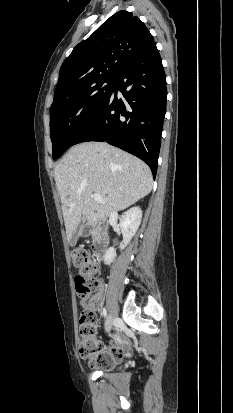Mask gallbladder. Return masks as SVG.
<instances>
[{
	"instance_id": "bac80fb5",
	"label": "gallbladder",
	"mask_w": 233,
	"mask_h": 413,
	"mask_svg": "<svg viewBox=\"0 0 233 413\" xmlns=\"http://www.w3.org/2000/svg\"><path fill=\"white\" fill-rule=\"evenodd\" d=\"M81 235V230H80V225L76 228L71 240H70V245L73 247L76 245L78 238Z\"/></svg>"
}]
</instances>
